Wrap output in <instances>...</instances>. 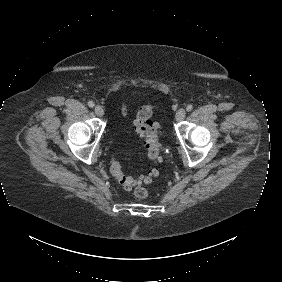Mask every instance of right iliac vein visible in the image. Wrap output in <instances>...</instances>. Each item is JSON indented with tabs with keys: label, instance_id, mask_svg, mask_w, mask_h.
<instances>
[{
	"label": "right iliac vein",
	"instance_id": "right-iliac-vein-1",
	"mask_svg": "<svg viewBox=\"0 0 282 282\" xmlns=\"http://www.w3.org/2000/svg\"><path fill=\"white\" fill-rule=\"evenodd\" d=\"M94 111H95L96 115L99 116V117H102L103 114H104L103 108L99 105L95 106Z\"/></svg>",
	"mask_w": 282,
	"mask_h": 282
}]
</instances>
